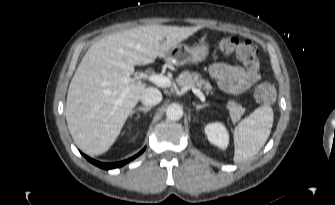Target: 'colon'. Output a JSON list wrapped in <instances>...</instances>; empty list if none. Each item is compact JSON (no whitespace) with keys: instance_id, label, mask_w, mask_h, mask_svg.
I'll use <instances>...</instances> for the list:
<instances>
[{"instance_id":"colon-1","label":"colon","mask_w":335,"mask_h":205,"mask_svg":"<svg viewBox=\"0 0 335 205\" xmlns=\"http://www.w3.org/2000/svg\"><path fill=\"white\" fill-rule=\"evenodd\" d=\"M217 47L222 53L235 54L250 70H256L259 67L258 49L250 41L230 36L221 39ZM254 95L261 103H271L275 99V89L270 83L263 82L256 87Z\"/></svg>"}]
</instances>
